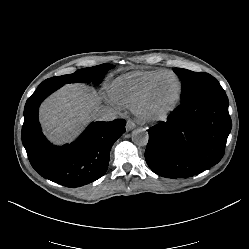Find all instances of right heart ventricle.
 Returning <instances> with one entry per match:
<instances>
[{
    "label": "right heart ventricle",
    "instance_id": "1",
    "mask_svg": "<svg viewBox=\"0 0 249 249\" xmlns=\"http://www.w3.org/2000/svg\"><path fill=\"white\" fill-rule=\"evenodd\" d=\"M167 72L170 71L150 69L128 72L113 80L110 94L120 103L131 106L152 80Z\"/></svg>",
    "mask_w": 249,
    "mask_h": 249
}]
</instances>
